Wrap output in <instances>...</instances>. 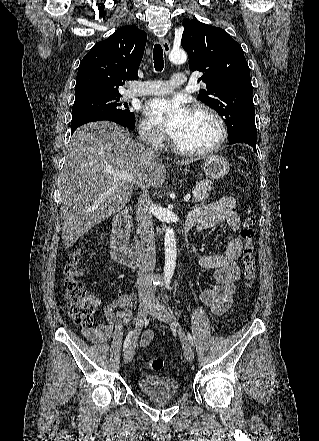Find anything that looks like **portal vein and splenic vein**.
I'll return each instance as SVG.
<instances>
[{"label": "portal vein and splenic vein", "instance_id": "portal-vein-and-splenic-vein-1", "mask_svg": "<svg viewBox=\"0 0 319 441\" xmlns=\"http://www.w3.org/2000/svg\"><path fill=\"white\" fill-rule=\"evenodd\" d=\"M109 172L117 180H123V181H127V182H132V183L135 182L134 176L131 173L127 172V171L110 170ZM190 198H191V195L187 194L184 197V201L187 202V201H189Z\"/></svg>", "mask_w": 319, "mask_h": 441}]
</instances>
